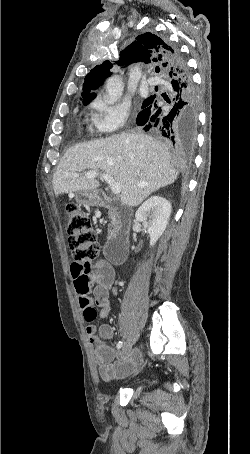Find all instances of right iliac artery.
<instances>
[{
	"label": "right iliac artery",
	"instance_id": "right-iliac-artery-1",
	"mask_svg": "<svg viewBox=\"0 0 250 454\" xmlns=\"http://www.w3.org/2000/svg\"><path fill=\"white\" fill-rule=\"evenodd\" d=\"M122 345H123V342H122V341H119V342L117 343V346H116V347H117L118 349H120V348L122 347Z\"/></svg>",
	"mask_w": 250,
	"mask_h": 454
}]
</instances>
